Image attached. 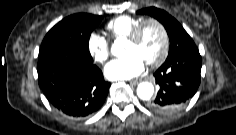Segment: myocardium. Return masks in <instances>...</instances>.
<instances>
[{
	"mask_svg": "<svg viewBox=\"0 0 236 135\" xmlns=\"http://www.w3.org/2000/svg\"><path fill=\"white\" fill-rule=\"evenodd\" d=\"M148 23L155 24L159 28L162 34V48L159 55L154 60L146 62L147 65L149 66H157L164 61L169 50V35H168L166 27L160 20L153 17H148V18L143 19L138 25L134 27L131 34L126 38V40L129 43L136 44L140 39V36L144 27Z\"/></svg>",
	"mask_w": 236,
	"mask_h": 135,
	"instance_id": "f54148a6",
	"label": "myocardium"
}]
</instances>
